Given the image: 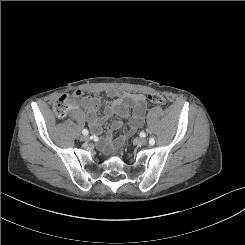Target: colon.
Listing matches in <instances>:
<instances>
[{"instance_id": "5ec220e1", "label": "colon", "mask_w": 245, "mask_h": 245, "mask_svg": "<svg viewBox=\"0 0 245 245\" xmlns=\"http://www.w3.org/2000/svg\"><path fill=\"white\" fill-rule=\"evenodd\" d=\"M79 94L62 95L54 103V112L57 117L63 118L67 113L79 103ZM148 100L156 105H164L166 103V98L159 93H151L147 96ZM84 98L81 100L83 102Z\"/></svg>"}]
</instances>
